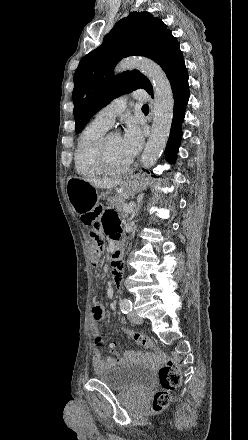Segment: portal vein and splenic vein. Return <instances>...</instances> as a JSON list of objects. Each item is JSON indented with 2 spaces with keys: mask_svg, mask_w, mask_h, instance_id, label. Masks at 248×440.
<instances>
[{
  "mask_svg": "<svg viewBox=\"0 0 248 440\" xmlns=\"http://www.w3.org/2000/svg\"><path fill=\"white\" fill-rule=\"evenodd\" d=\"M134 207H135V204H134V203H132V204H130V205H128V204H123V210H124L125 212H127V213H133V211H134Z\"/></svg>",
  "mask_w": 248,
  "mask_h": 440,
  "instance_id": "obj_1",
  "label": "portal vein and splenic vein"
}]
</instances>
